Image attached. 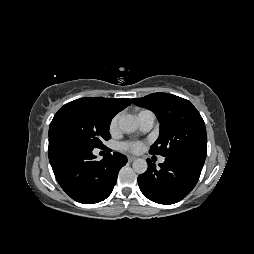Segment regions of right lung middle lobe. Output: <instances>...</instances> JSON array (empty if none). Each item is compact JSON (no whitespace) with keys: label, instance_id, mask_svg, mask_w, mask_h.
I'll return each instance as SVG.
<instances>
[{"label":"right lung middle lobe","instance_id":"dd1d6c3e","mask_svg":"<svg viewBox=\"0 0 254 254\" xmlns=\"http://www.w3.org/2000/svg\"><path fill=\"white\" fill-rule=\"evenodd\" d=\"M113 116L99 103L77 99L62 106L49 127L50 138H64L92 148L104 147L111 138L109 127Z\"/></svg>","mask_w":254,"mask_h":254}]
</instances>
